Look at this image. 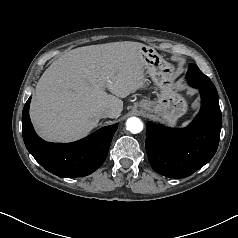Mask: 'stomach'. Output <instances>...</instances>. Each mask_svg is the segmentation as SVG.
I'll return each instance as SVG.
<instances>
[{
    "instance_id": "obj_1",
    "label": "stomach",
    "mask_w": 238,
    "mask_h": 238,
    "mask_svg": "<svg viewBox=\"0 0 238 238\" xmlns=\"http://www.w3.org/2000/svg\"><path fill=\"white\" fill-rule=\"evenodd\" d=\"M140 61L158 91L154 100L143 99L135 107L151 113L169 125H175L187 110V103L175 85V68L147 45L140 48Z\"/></svg>"
}]
</instances>
